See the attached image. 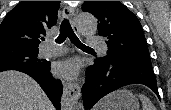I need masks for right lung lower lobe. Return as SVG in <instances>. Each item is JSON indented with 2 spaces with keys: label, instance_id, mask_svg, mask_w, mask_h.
Instances as JSON below:
<instances>
[{
  "label": "right lung lower lobe",
  "instance_id": "1",
  "mask_svg": "<svg viewBox=\"0 0 171 110\" xmlns=\"http://www.w3.org/2000/svg\"><path fill=\"white\" fill-rule=\"evenodd\" d=\"M15 70L24 72L34 78L47 94L54 107L57 110H60V99L63 93V86L59 80H56L51 76L49 63L42 68L25 67Z\"/></svg>",
  "mask_w": 171,
  "mask_h": 110
}]
</instances>
